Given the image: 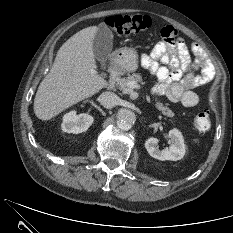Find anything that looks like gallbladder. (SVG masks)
I'll list each match as a JSON object with an SVG mask.
<instances>
[{
	"instance_id": "bac80fb5",
	"label": "gallbladder",
	"mask_w": 233,
	"mask_h": 233,
	"mask_svg": "<svg viewBox=\"0 0 233 233\" xmlns=\"http://www.w3.org/2000/svg\"><path fill=\"white\" fill-rule=\"evenodd\" d=\"M112 47L113 33L106 24L101 23L93 41V52L96 59L99 61L106 60L112 51Z\"/></svg>"
}]
</instances>
